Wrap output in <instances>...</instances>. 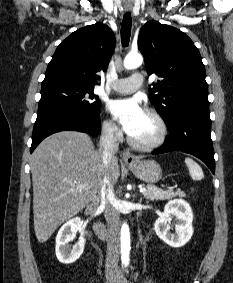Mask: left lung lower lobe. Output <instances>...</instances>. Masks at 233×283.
I'll return each mask as SVG.
<instances>
[{
	"label": "left lung lower lobe",
	"instance_id": "0a47b994",
	"mask_svg": "<svg viewBox=\"0 0 233 283\" xmlns=\"http://www.w3.org/2000/svg\"><path fill=\"white\" fill-rule=\"evenodd\" d=\"M170 135L152 154L182 151L201 159L215 173L214 151L211 140L209 111L186 112L167 123Z\"/></svg>",
	"mask_w": 233,
	"mask_h": 283
}]
</instances>
